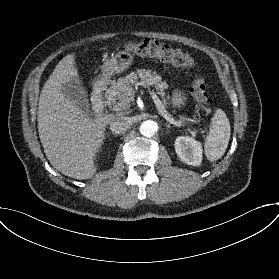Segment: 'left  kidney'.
<instances>
[{
  "mask_svg": "<svg viewBox=\"0 0 279 279\" xmlns=\"http://www.w3.org/2000/svg\"><path fill=\"white\" fill-rule=\"evenodd\" d=\"M175 151L180 159L188 165L199 166L202 162V145L193 137L179 136L175 140Z\"/></svg>",
  "mask_w": 279,
  "mask_h": 279,
  "instance_id": "left-kidney-1",
  "label": "left kidney"
}]
</instances>
